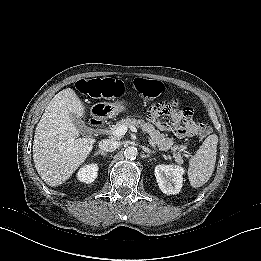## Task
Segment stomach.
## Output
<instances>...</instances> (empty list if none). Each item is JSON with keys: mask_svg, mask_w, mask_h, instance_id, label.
Returning <instances> with one entry per match:
<instances>
[{"mask_svg": "<svg viewBox=\"0 0 261 261\" xmlns=\"http://www.w3.org/2000/svg\"><path fill=\"white\" fill-rule=\"evenodd\" d=\"M99 104L103 105L105 108V112L115 115L118 114L119 112L125 111L126 110V104L121 101V100H116L114 102H100Z\"/></svg>", "mask_w": 261, "mask_h": 261, "instance_id": "1", "label": "stomach"}]
</instances>
